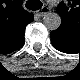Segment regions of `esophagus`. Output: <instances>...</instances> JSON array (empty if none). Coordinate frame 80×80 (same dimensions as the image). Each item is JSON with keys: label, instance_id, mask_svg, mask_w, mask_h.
I'll list each match as a JSON object with an SVG mask.
<instances>
[{"label": "esophagus", "instance_id": "34e87169", "mask_svg": "<svg viewBox=\"0 0 80 80\" xmlns=\"http://www.w3.org/2000/svg\"><path fill=\"white\" fill-rule=\"evenodd\" d=\"M44 14H46V12H44L43 10H41V12L38 14V16H44Z\"/></svg>", "mask_w": 80, "mask_h": 80}]
</instances>
